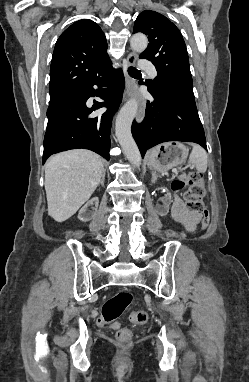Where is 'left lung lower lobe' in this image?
I'll use <instances>...</instances> for the list:
<instances>
[{
  "label": "left lung lower lobe",
  "mask_w": 249,
  "mask_h": 382,
  "mask_svg": "<svg viewBox=\"0 0 249 382\" xmlns=\"http://www.w3.org/2000/svg\"><path fill=\"white\" fill-rule=\"evenodd\" d=\"M154 98L147 101L146 115L138 126L132 124V135L142 157L146 150L167 141H186L207 150L206 139L195 102L159 93L148 86Z\"/></svg>",
  "instance_id": "0a47b994"
}]
</instances>
